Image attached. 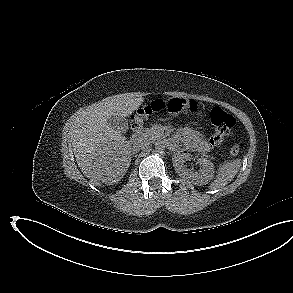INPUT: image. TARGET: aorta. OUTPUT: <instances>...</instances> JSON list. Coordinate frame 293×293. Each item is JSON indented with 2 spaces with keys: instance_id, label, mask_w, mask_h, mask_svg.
I'll list each match as a JSON object with an SVG mask.
<instances>
[{
  "instance_id": "aorta-1",
  "label": "aorta",
  "mask_w": 293,
  "mask_h": 293,
  "mask_svg": "<svg viewBox=\"0 0 293 293\" xmlns=\"http://www.w3.org/2000/svg\"><path fill=\"white\" fill-rule=\"evenodd\" d=\"M155 149L158 151V152H161L165 149V142L164 141H157L155 143Z\"/></svg>"
}]
</instances>
